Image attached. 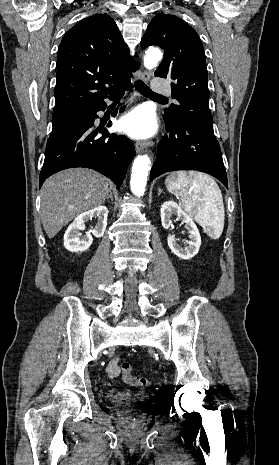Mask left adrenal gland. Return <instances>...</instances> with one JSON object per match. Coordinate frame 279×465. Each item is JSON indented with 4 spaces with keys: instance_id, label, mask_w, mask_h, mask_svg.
Segmentation results:
<instances>
[{
    "instance_id": "1",
    "label": "left adrenal gland",
    "mask_w": 279,
    "mask_h": 465,
    "mask_svg": "<svg viewBox=\"0 0 279 465\" xmlns=\"http://www.w3.org/2000/svg\"><path fill=\"white\" fill-rule=\"evenodd\" d=\"M161 193H164V192L162 191V189L159 188L158 189V195H160Z\"/></svg>"
}]
</instances>
